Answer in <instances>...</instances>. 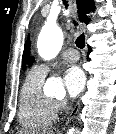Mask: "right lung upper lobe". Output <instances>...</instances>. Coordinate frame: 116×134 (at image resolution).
<instances>
[{
    "instance_id": "cb5924a9",
    "label": "right lung upper lobe",
    "mask_w": 116,
    "mask_h": 134,
    "mask_svg": "<svg viewBox=\"0 0 116 134\" xmlns=\"http://www.w3.org/2000/svg\"><path fill=\"white\" fill-rule=\"evenodd\" d=\"M77 4V12H78V18L80 22H84L86 24L89 23L90 19L87 18L86 14L94 11L95 6L93 0H76ZM29 43L28 41L25 44V49L23 52V63L25 64L27 62L28 56H29ZM24 68V66H23Z\"/></svg>"
}]
</instances>
